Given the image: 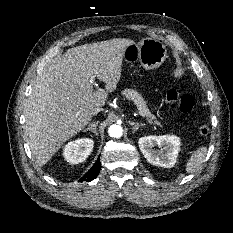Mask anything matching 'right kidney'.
<instances>
[{
  "label": "right kidney",
  "instance_id": "right-kidney-1",
  "mask_svg": "<svg viewBox=\"0 0 233 233\" xmlns=\"http://www.w3.org/2000/svg\"><path fill=\"white\" fill-rule=\"evenodd\" d=\"M94 142L90 138H81L65 145L63 156L71 164H78L86 160L90 155Z\"/></svg>",
  "mask_w": 233,
  "mask_h": 233
}]
</instances>
